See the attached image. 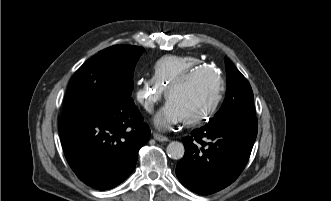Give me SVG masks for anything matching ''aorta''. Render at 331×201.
Listing matches in <instances>:
<instances>
[{
  "mask_svg": "<svg viewBox=\"0 0 331 201\" xmlns=\"http://www.w3.org/2000/svg\"><path fill=\"white\" fill-rule=\"evenodd\" d=\"M166 152L172 159H181L184 156L185 148L181 142L172 141L168 144Z\"/></svg>",
  "mask_w": 331,
  "mask_h": 201,
  "instance_id": "762f6f07",
  "label": "aorta"
}]
</instances>
